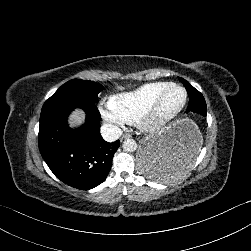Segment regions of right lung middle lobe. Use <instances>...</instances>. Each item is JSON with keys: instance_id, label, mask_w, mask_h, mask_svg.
Returning <instances> with one entry per match:
<instances>
[{"instance_id": "dd1d6c3e", "label": "right lung middle lobe", "mask_w": 251, "mask_h": 251, "mask_svg": "<svg viewBox=\"0 0 251 251\" xmlns=\"http://www.w3.org/2000/svg\"><path fill=\"white\" fill-rule=\"evenodd\" d=\"M104 87L93 81L73 79L63 84L46 102L80 100L95 104Z\"/></svg>"}]
</instances>
